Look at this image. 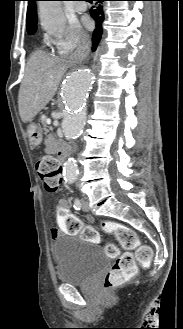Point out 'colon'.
I'll use <instances>...</instances> for the list:
<instances>
[{"mask_svg": "<svg viewBox=\"0 0 183 329\" xmlns=\"http://www.w3.org/2000/svg\"><path fill=\"white\" fill-rule=\"evenodd\" d=\"M37 172L42 183L50 192H55L62 185V167L59 161L52 156H42L37 162ZM69 220H79L75 219ZM104 230L115 236L117 242L125 249L135 250V253L125 252L119 255V249L114 244H108L105 247L106 253L110 257H116L112 268L108 271L104 287L113 289L119 287L134 277L137 273V263L147 265L151 261V249L140 244L135 232L124 225L107 222L104 224ZM82 237V236H81Z\"/></svg>", "mask_w": 183, "mask_h": 329, "instance_id": "obj_1", "label": "colon"}]
</instances>
